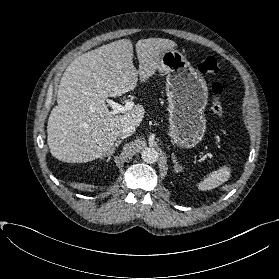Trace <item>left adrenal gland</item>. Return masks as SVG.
Returning <instances> with one entry per match:
<instances>
[{
    "instance_id": "1",
    "label": "left adrenal gland",
    "mask_w": 279,
    "mask_h": 279,
    "mask_svg": "<svg viewBox=\"0 0 279 279\" xmlns=\"http://www.w3.org/2000/svg\"><path fill=\"white\" fill-rule=\"evenodd\" d=\"M172 159H173V163H174V170H175L176 172H178L180 166H179V164H178V162H177V160H176V156H175L174 153H172Z\"/></svg>"
}]
</instances>
